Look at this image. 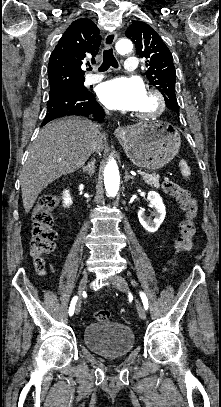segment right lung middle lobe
I'll return each instance as SVG.
<instances>
[{"label": "right lung middle lobe", "mask_w": 221, "mask_h": 407, "mask_svg": "<svg viewBox=\"0 0 221 407\" xmlns=\"http://www.w3.org/2000/svg\"><path fill=\"white\" fill-rule=\"evenodd\" d=\"M67 89H72V90H77V91H84L87 90L84 87V81L75 83V84H70V85H65V86H55L50 88V94L62 91V90H67Z\"/></svg>", "instance_id": "dd1d6c3e"}]
</instances>
